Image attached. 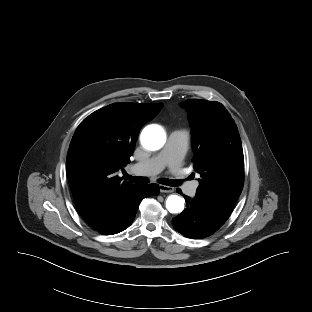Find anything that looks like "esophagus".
Returning a JSON list of instances; mask_svg holds the SVG:
<instances>
[{"label": "esophagus", "instance_id": "34e87169", "mask_svg": "<svg viewBox=\"0 0 312 312\" xmlns=\"http://www.w3.org/2000/svg\"><path fill=\"white\" fill-rule=\"evenodd\" d=\"M159 189H160V192L162 193H172L174 191L173 187L162 185V184L159 185Z\"/></svg>", "mask_w": 312, "mask_h": 312}]
</instances>
